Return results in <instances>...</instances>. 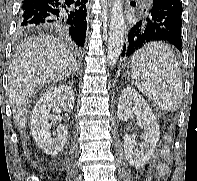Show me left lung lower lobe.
<instances>
[{
    "label": "left lung lower lobe",
    "instance_id": "obj_1",
    "mask_svg": "<svg viewBox=\"0 0 197 181\" xmlns=\"http://www.w3.org/2000/svg\"><path fill=\"white\" fill-rule=\"evenodd\" d=\"M182 4L180 0H153L129 31L121 56L129 57L148 43L165 41L182 51Z\"/></svg>",
    "mask_w": 197,
    "mask_h": 181
}]
</instances>
